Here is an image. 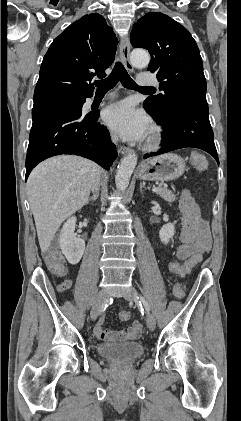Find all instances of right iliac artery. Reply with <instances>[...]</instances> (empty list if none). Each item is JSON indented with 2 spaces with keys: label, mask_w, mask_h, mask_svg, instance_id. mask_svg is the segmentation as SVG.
Instances as JSON below:
<instances>
[{
  "label": "right iliac artery",
  "mask_w": 241,
  "mask_h": 421,
  "mask_svg": "<svg viewBox=\"0 0 241 421\" xmlns=\"http://www.w3.org/2000/svg\"><path fill=\"white\" fill-rule=\"evenodd\" d=\"M112 303V300H106L105 303L102 305L101 309H100V313L104 312L106 310V308L108 307L109 304Z\"/></svg>",
  "instance_id": "1"
}]
</instances>
